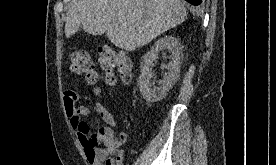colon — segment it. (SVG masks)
I'll return each mask as SVG.
<instances>
[{
  "label": "colon",
  "instance_id": "5ec220e1",
  "mask_svg": "<svg viewBox=\"0 0 276 165\" xmlns=\"http://www.w3.org/2000/svg\"><path fill=\"white\" fill-rule=\"evenodd\" d=\"M71 70L81 76L88 84L97 83L98 74L92 57L85 51H73L70 55ZM98 60L102 70L105 73L106 83L114 85L116 76L119 75L124 82L131 79V65L126 55L109 46H103L99 49ZM81 129L87 134L88 127L83 122ZM93 136V135H92ZM90 143H93L91 140Z\"/></svg>",
  "mask_w": 276,
  "mask_h": 165
}]
</instances>
